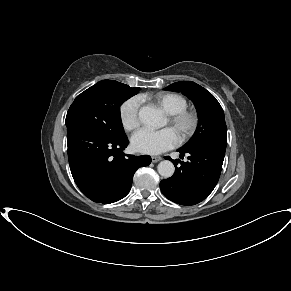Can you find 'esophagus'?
Returning a JSON list of instances; mask_svg holds the SVG:
<instances>
[{
	"mask_svg": "<svg viewBox=\"0 0 291 291\" xmlns=\"http://www.w3.org/2000/svg\"><path fill=\"white\" fill-rule=\"evenodd\" d=\"M161 159H162L161 156H152L151 157V160L153 163H156V162L160 161Z\"/></svg>",
	"mask_w": 291,
	"mask_h": 291,
	"instance_id": "1",
	"label": "esophagus"
}]
</instances>
